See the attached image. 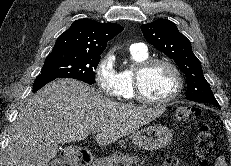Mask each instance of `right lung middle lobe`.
Here are the masks:
<instances>
[{
	"instance_id": "right-lung-middle-lobe-1",
	"label": "right lung middle lobe",
	"mask_w": 231,
	"mask_h": 166,
	"mask_svg": "<svg viewBox=\"0 0 231 166\" xmlns=\"http://www.w3.org/2000/svg\"><path fill=\"white\" fill-rule=\"evenodd\" d=\"M100 55L71 50L52 51L46 58L40 75L74 78L88 84L95 83V72Z\"/></svg>"
}]
</instances>
